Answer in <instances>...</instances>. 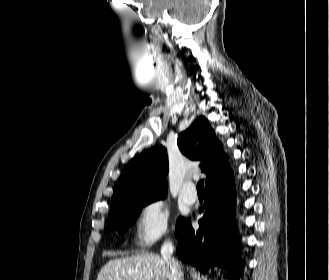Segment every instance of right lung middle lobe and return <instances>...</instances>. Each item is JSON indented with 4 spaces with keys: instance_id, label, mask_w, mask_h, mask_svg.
Here are the masks:
<instances>
[{
    "instance_id": "dd1d6c3e",
    "label": "right lung middle lobe",
    "mask_w": 329,
    "mask_h": 280,
    "mask_svg": "<svg viewBox=\"0 0 329 280\" xmlns=\"http://www.w3.org/2000/svg\"><path fill=\"white\" fill-rule=\"evenodd\" d=\"M164 198L165 196H157L128 201L117 210L109 213L108 226L123 234L128 229V227L134 223L143 207L154 201ZM183 220L184 218H179L176 227Z\"/></svg>"
}]
</instances>
